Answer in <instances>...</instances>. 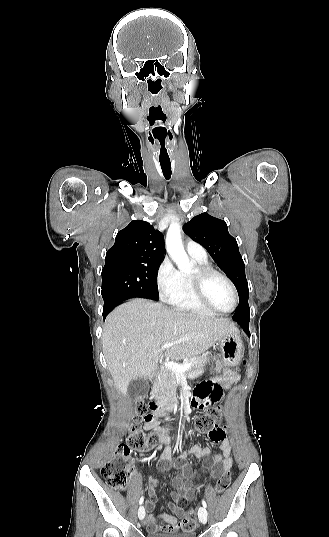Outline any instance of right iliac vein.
Listing matches in <instances>:
<instances>
[{"instance_id": "right-iliac-vein-1", "label": "right iliac vein", "mask_w": 329, "mask_h": 537, "mask_svg": "<svg viewBox=\"0 0 329 537\" xmlns=\"http://www.w3.org/2000/svg\"><path fill=\"white\" fill-rule=\"evenodd\" d=\"M145 517V509L143 506H140L139 509H138V518L140 520H143Z\"/></svg>"}]
</instances>
